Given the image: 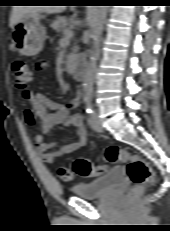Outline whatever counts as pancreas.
<instances>
[{
  "mask_svg": "<svg viewBox=\"0 0 170 231\" xmlns=\"http://www.w3.org/2000/svg\"><path fill=\"white\" fill-rule=\"evenodd\" d=\"M70 27V22L65 17H57L52 23L51 28L57 32H62L64 34L65 29ZM76 47L74 51H77Z\"/></svg>",
  "mask_w": 170,
  "mask_h": 231,
  "instance_id": "1",
  "label": "pancreas"
}]
</instances>
